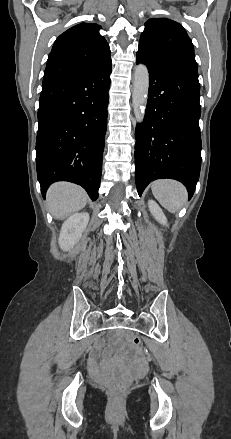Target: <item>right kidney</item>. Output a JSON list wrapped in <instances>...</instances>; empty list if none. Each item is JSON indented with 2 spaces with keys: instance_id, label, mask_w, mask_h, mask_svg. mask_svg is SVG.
Masks as SVG:
<instances>
[{
  "instance_id": "obj_1",
  "label": "right kidney",
  "mask_w": 231,
  "mask_h": 439,
  "mask_svg": "<svg viewBox=\"0 0 231 439\" xmlns=\"http://www.w3.org/2000/svg\"><path fill=\"white\" fill-rule=\"evenodd\" d=\"M89 222L87 212L76 213L70 216L62 225L59 245L63 250H69L82 236Z\"/></svg>"
}]
</instances>
